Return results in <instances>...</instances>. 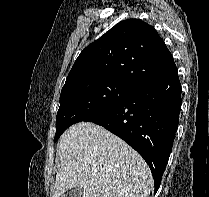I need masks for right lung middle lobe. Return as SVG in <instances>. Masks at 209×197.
Masks as SVG:
<instances>
[{"label":"right lung middle lobe","mask_w":209,"mask_h":197,"mask_svg":"<svg viewBox=\"0 0 209 197\" xmlns=\"http://www.w3.org/2000/svg\"><path fill=\"white\" fill-rule=\"evenodd\" d=\"M134 89L116 80L83 81L64 86L60 94L54 142L72 124L85 121L122 100Z\"/></svg>","instance_id":"right-lung-middle-lobe-1"}]
</instances>
